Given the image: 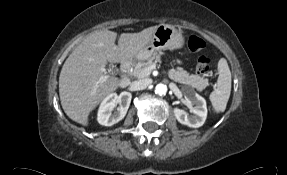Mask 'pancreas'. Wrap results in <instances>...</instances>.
I'll list each match as a JSON object with an SVG mask.
<instances>
[{"label":"pancreas","mask_w":287,"mask_h":175,"mask_svg":"<svg viewBox=\"0 0 287 175\" xmlns=\"http://www.w3.org/2000/svg\"><path fill=\"white\" fill-rule=\"evenodd\" d=\"M161 54L155 53L151 56L146 62L138 63L134 68V75L138 78H144L147 76L139 75L141 71L146 69L147 67L159 63ZM168 76L175 82L189 85L192 88L197 89L198 91L204 90L208 86V80L200 77L199 75L189 74L183 68L178 67L176 69H170L168 71Z\"/></svg>","instance_id":"pancreas-1"}]
</instances>
